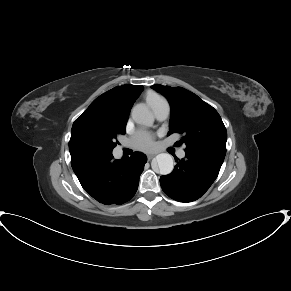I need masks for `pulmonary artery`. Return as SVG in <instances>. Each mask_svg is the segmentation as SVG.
<instances>
[{"label":"pulmonary artery","mask_w":291,"mask_h":291,"mask_svg":"<svg viewBox=\"0 0 291 291\" xmlns=\"http://www.w3.org/2000/svg\"><path fill=\"white\" fill-rule=\"evenodd\" d=\"M156 118L160 121L165 120L169 115V105L165 99H161L153 108ZM122 148L119 147L117 153L120 154ZM178 157L183 158L185 151L183 149L178 151Z\"/></svg>","instance_id":"e3ab8cb5"}]
</instances>
